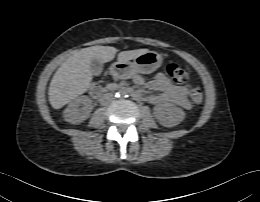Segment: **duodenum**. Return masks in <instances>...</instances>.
<instances>
[{"label": "duodenum", "instance_id": "1", "mask_svg": "<svg viewBox=\"0 0 260 202\" xmlns=\"http://www.w3.org/2000/svg\"><path fill=\"white\" fill-rule=\"evenodd\" d=\"M112 73L114 75H117L119 74V70L114 67L112 69ZM120 90H123V91H126L128 92L129 94L132 95V97L136 98V99H143V95L138 93V92H135L134 90L130 89V88H127V87H120ZM90 94L94 97V98H99L103 95V92L99 89H97L96 87H91L90 88Z\"/></svg>", "mask_w": 260, "mask_h": 202}]
</instances>
